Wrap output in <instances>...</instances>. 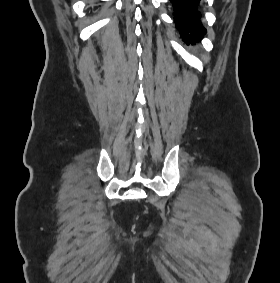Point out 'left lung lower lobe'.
Listing matches in <instances>:
<instances>
[{
    "label": "left lung lower lobe",
    "instance_id": "left-lung-lower-lobe-1",
    "mask_svg": "<svg viewBox=\"0 0 280 283\" xmlns=\"http://www.w3.org/2000/svg\"><path fill=\"white\" fill-rule=\"evenodd\" d=\"M174 8V22L184 41H198L205 33L201 14L197 10L200 0H170Z\"/></svg>",
    "mask_w": 280,
    "mask_h": 283
}]
</instances>
